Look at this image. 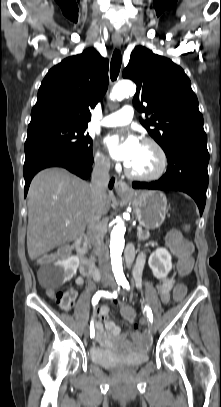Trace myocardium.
<instances>
[{"mask_svg":"<svg viewBox=\"0 0 221 407\" xmlns=\"http://www.w3.org/2000/svg\"><path fill=\"white\" fill-rule=\"evenodd\" d=\"M141 143L150 145L157 151V153L159 154L160 160H161L159 169L153 174L144 175V174H138V173L134 172L129 167V165H127L125 168V172L129 177L136 179V180H140V181L158 180L166 173V171L168 169V166H169L168 155H167L165 149L162 147V145L154 139L144 138V139H142Z\"/></svg>","mask_w":221,"mask_h":407,"instance_id":"f54148a6","label":"myocardium"}]
</instances>
